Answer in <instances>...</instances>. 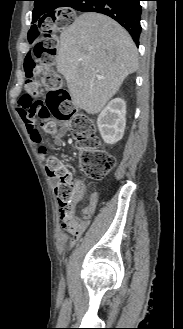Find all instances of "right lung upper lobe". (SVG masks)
I'll use <instances>...</instances> for the list:
<instances>
[{
	"instance_id": "cb5924a9",
	"label": "right lung upper lobe",
	"mask_w": 183,
	"mask_h": 329,
	"mask_svg": "<svg viewBox=\"0 0 183 329\" xmlns=\"http://www.w3.org/2000/svg\"><path fill=\"white\" fill-rule=\"evenodd\" d=\"M35 7L33 10V22L42 21L46 16L54 13L58 7H70L69 2L72 0H33ZM39 13V14H38ZM38 14V15H37Z\"/></svg>"
}]
</instances>
